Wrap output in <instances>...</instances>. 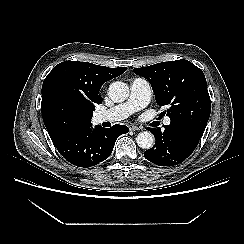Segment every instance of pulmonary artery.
Segmentation results:
<instances>
[{
	"mask_svg": "<svg viewBox=\"0 0 244 244\" xmlns=\"http://www.w3.org/2000/svg\"><path fill=\"white\" fill-rule=\"evenodd\" d=\"M152 96V88L150 83L143 78H135L130 84L129 98L108 110L98 112L96 114V121L114 122L126 119L134 112L143 109L147 106ZM170 118L164 120L165 125L170 124Z\"/></svg>",
	"mask_w": 244,
	"mask_h": 244,
	"instance_id": "pulmonary-artery-1",
	"label": "pulmonary artery"
}]
</instances>
